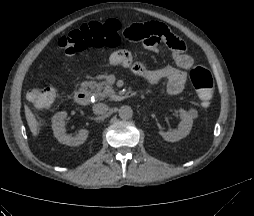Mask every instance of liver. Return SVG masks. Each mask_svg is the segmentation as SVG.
Here are the masks:
<instances>
[{"label": "liver", "mask_w": 254, "mask_h": 216, "mask_svg": "<svg viewBox=\"0 0 254 216\" xmlns=\"http://www.w3.org/2000/svg\"><path fill=\"white\" fill-rule=\"evenodd\" d=\"M25 116L28 123V126L30 128V131L34 137L38 135V122L34 116V114L31 112V110L26 107L25 108Z\"/></svg>", "instance_id": "6515ba94"}]
</instances>
